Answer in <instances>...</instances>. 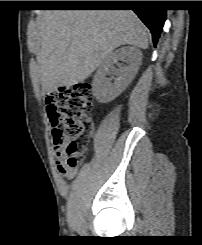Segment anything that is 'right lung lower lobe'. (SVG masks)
Returning <instances> with one entry per match:
<instances>
[{"mask_svg": "<svg viewBox=\"0 0 202 245\" xmlns=\"http://www.w3.org/2000/svg\"><path fill=\"white\" fill-rule=\"evenodd\" d=\"M80 6H122L103 3H83ZM129 6L134 7L133 11L142 22L150 29L154 46L160 37L164 22L166 20V10L155 7L153 1H135Z\"/></svg>", "mask_w": 202, "mask_h": 245, "instance_id": "98d812e1", "label": "right lung lower lobe"}]
</instances>
